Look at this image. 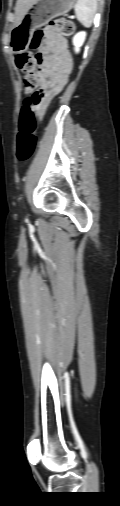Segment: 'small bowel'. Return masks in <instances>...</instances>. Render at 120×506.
Listing matches in <instances>:
<instances>
[{
  "label": "small bowel",
  "mask_w": 120,
  "mask_h": 506,
  "mask_svg": "<svg viewBox=\"0 0 120 506\" xmlns=\"http://www.w3.org/2000/svg\"><path fill=\"white\" fill-rule=\"evenodd\" d=\"M40 74L41 104L38 113L43 116L51 101L63 90L72 72L73 60L65 38L53 29H46L37 54Z\"/></svg>",
  "instance_id": "1"
}]
</instances>
